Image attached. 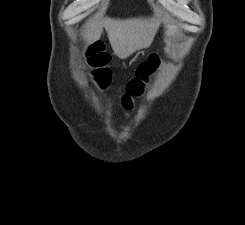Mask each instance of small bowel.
Returning <instances> with one entry per match:
<instances>
[{
    "mask_svg": "<svg viewBox=\"0 0 245 225\" xmlns=\"http://www.w3.org/2000/svg\"><path fill=\"white\" fill-rule=\"evenodd\" d=\"M110 62V57L106 56V64Z\"/></svg>",
    "mask_w": 245,
    "mask_h": 225,
    "instance_id": "obj_1",
    "label": "small bowel"
}]
</instances>
